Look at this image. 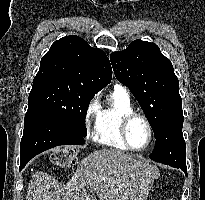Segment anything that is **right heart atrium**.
Wrapping results in <instances>:
<instances>
[{
    "mask_svg": "<svg viewBox=\"0 0 205 200\" xmlns=\"http://www.w3.org/2000/svg\"><path fill=\"white\" fill-rule=\"evenodd\" d=\"M100 109V96L95 94L87 103L84 113L85 130L88 138H94L95 136Z\"/></svg>",
    "mask_w": 205,
    "mask_h": 200,
    "instance_id": "1",
    "label": "right heart atrium"
}]
</instances>
